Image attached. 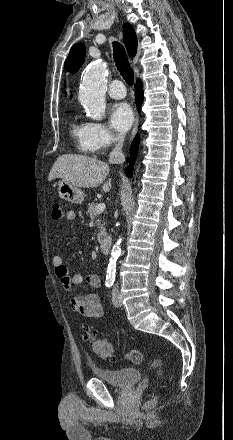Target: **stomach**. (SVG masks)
<instances>
[{
  "label": "stomach",
  "instance_id": "obj_1",
  "mask_svg": "<svg viewBox=\"0 0 233 440\" xmlns=\"http://www.w3.org/2000/svg\"><path fill=\"white\" fill-rule=\"evenodd\" d=\"M58 193L61 199L73 204H81L85 197L83 191L79 187H76L65 180L58 182Z\"/></svg>",
  "mask_w": 233,
  "mask_h": 440
}]
</instances>
